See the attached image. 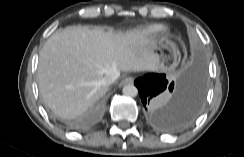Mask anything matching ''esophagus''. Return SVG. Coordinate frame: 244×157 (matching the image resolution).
<instances>
[{
    "mask_svg": "<svg viewBox=\"0 0 244 157\" xmlns=\"http://www.w3.org/2000/svg\"><path fill=\"white\" fill-rule=\"evenodd\" d=\"M133 81H134V78L132 76H126V77L122 78V80L120 81L119 87H122L126 84H131V83H133Z\"/></svg>",
    "mask_w": 244,
    "mask_h": 157,
    "instance_id": "esophagus-1",
    "label": "esophagus"
}]
</instances>
